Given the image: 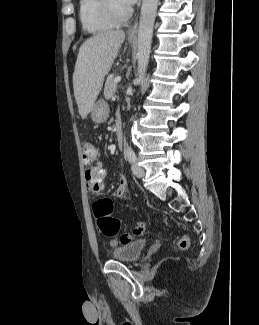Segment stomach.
<instances>
[{"mask_svg": "<svg viewBox=\"0 0 259 325\" xmlns=\"http://www.w3.org/2000/svg\"><path fill=\"white\" fill-rule=\"evenodd\" d=\"M131 43L132 40H129ZM109 114L108 104L100 99L94 103L91 112V118L95 123H102L107 120Z\"/></svg>", "mask_w": 259, "mask_h": 325, "instance_id": "1", "label": "stomach"}]
</instances>
